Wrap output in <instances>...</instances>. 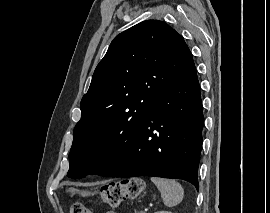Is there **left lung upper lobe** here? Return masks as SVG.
<instances>
[{"label": "left lung upper lobe", "mask_w": 270, "mask_h": 213, "mask_svg": "<svg viewBox=\"0 0 270 213\" xmlns=\"http://www.w3.org/2000/svg\"><path fill=\"white\" fill-rule=\"evenodd\" d=\"M193 64L183 38L163 21H143L117 35L81 100L67 176L90 174L109 150L129 139L176 76Z\"/></svg>", "instance_id": "obj_1"}]
</instances>
